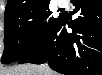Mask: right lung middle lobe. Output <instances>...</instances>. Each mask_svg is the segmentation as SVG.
Here are the masks:
<instances>
[{
  "mask_svg": "<svg viewBox=\"0 0 102 75\" xmlns=\"http://www.w3.org/2000/svg\"><path fill=\"white\" fill-rule=\"evenodd\" d=\"M63 14L55 18L49 11V3L34 10L4 15L3 64L19 61L42 44Z\"/></svg>",
  "mask_w": 102,
  "mask_h": 75,
  "instance_id": "right-lung-middle-lobe-1",
  "label": "right lung middle lobe"
}]
</instances>
